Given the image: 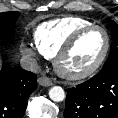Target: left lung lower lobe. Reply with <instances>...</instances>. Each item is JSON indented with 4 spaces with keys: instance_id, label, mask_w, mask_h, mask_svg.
<instances>
[{
    "instance_id": "obj_1",
    "label": "left lung lower lobe",
    "mask_w": 118,
    "mask_h": 118,
    "mask_svg": "<svg viewBox=\"0 0 118 118\" xmlns=\"http://www.w3.org/2000/svg\"><path fill=\"white\" fill-rule=\"evenodd\" d=\"M64 118H118V65L69 88Z\"/></svg>"
}]
</instances>
